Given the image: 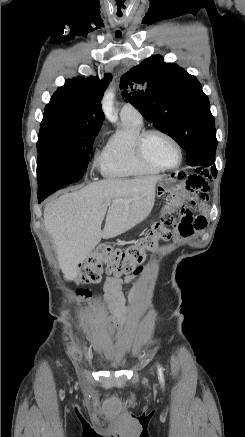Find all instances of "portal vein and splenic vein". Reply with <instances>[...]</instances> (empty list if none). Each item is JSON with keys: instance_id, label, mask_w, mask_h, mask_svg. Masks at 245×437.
<instances>
[{"instance_id": "1", "label": "portal vein and splenic vein", "mask_w": 245, "mask_h": 437, "mask_svg": "<svg viewBox=\"0 0 245 437\" xmlns=\"http://www.w3.org/2000/svg\"><path fill=\"white\" fill-rule=\"evenodd\" d=\"M116 202H126V200L118 199V200H116ZM110 204H111V201L108 200V201H107V205H110Z\"/></svg>"}]
</instances>
